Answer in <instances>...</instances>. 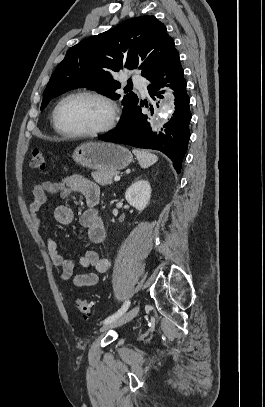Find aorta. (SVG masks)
<instances>
[{"mask_svg": "<svg viewBox=\"0 0 265 407\" xmlns=\"http://www.w3.org/2000/svg\"><path fill=\"white\" fill-rule=\"evenodd\" d=\"M173 108L174 106L172 101H165L159 108L158 118L160 120L167 119L168 116L172 113Z\"/></svg>", "mask_w": 265, "mask_h": 407, "instance_id": "762f6f07", "label": "aorta"}]
</instances>
